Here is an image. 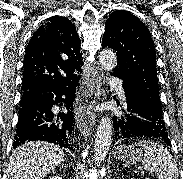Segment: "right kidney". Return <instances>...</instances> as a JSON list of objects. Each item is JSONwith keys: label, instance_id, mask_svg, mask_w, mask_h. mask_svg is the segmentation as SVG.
<instances>
[{"label": "right kidney", "instance_id": "obj_1", "mask_svg": "<svg viewBox=\"0 0 183 179\" xmlns=\"http://www.w3.org/2000/svg\"><path fill=\"white\" fill-rule=\"evenodd\" d=\"M50 179H62L61 176H53V177H50Z\"/></svg>", "mask_w": 183, "mask_h": 179}]
</instances>
